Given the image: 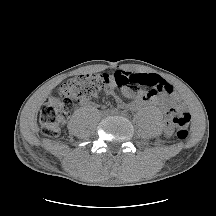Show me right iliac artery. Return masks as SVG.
I'll use <instances>...</instances> for the list:
<instances>
[{"label": "right iliac artery", "mask_w": 216, "mask_h": 216, "mask_svg": "<svg viewBox=\"0 0 216 216\" xmlns=\"http://www.w3.org/2000/svg\"><path fill=\"white\" fill-rule=\"evenodd\" d=\"M118 110L117 109H113L111 110V112L116 113Z\"/></svg>", "instance_id": "right-iliac-artery-1"}]
</instances>
